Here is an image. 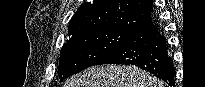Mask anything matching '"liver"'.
Segmentation results:
<instances>
[{
  "label": "liver",
  "mask_w": 205,
  "mask_h": 87,
  "mask_svg": "<svg viewBox=\"0 0 205 87\" xmlns=\"http://www.w3.org/2000/svg\"><path fill=\"white\" fill-rule=\"evenodd\" d=\"M64 87H163L139 68L121 65L92 66L71 77Z\"/></svg>",
  "instance_id": "1"
}]
</instances>
